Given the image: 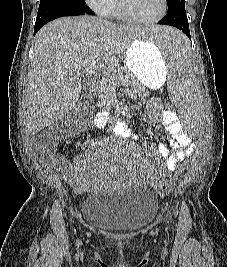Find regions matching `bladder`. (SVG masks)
<instances>
[{"label": "bladder", "mask_w": 227, "mask_h": 267, "mask_svg": "<svg viewBox=\"0 0 227 267\" xmlns=\"http://www.w3.org/2000/svg\"><path fill=\"white\" fill-rule=\"evenodd\" d=\"M158 211V199L149 188L89 193L82 204L87 224L109 231H129L143 227Z\"/></svg>", "instance_id": "1"}]
</instances>
